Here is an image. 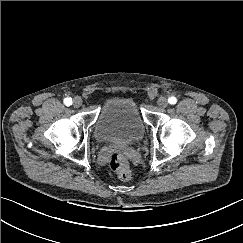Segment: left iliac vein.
Wrapping results in <instances>:
<instances>
[{"label": "left iliac vein", "instance_id": "obj_1", "mask_svg": "<svg viewBox=\"0 0 243 243\" xmlns=\"http://www.w3.org/2000/svg\"><path fill=\"white\" fill-rule=\"evenodd\" d=\"M157 105L160 108H166L168 106V101L165 97H160L157 101Z\"/></svg>", "mask_w": 243, "mask_h": 243}]
</instances>
